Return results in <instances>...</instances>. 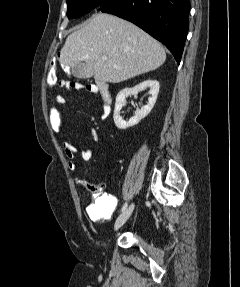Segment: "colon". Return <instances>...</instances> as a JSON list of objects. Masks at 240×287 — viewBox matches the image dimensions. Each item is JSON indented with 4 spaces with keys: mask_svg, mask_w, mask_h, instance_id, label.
<instances>
[{
    "mask_svg": "<svg viewBox=\"0 0 240 287\" xmlns=\"http://www.w3.org/2000/svg\"><path fill=\"white\" fill-rule=\"evenodd\" d=\"M47 84L51 87L58 86L59 88L66 89H86L88 85H81L74 81L67 80H58L56 63L55 60L51 62V66L47 75ZM49 108H48V118L52 129L55 132H60L65 124V115L63 111V106L65 105V98L62 95L55 94L51 95L49 99ZM79 184H83L79 182ZM92 189H97V185L91 187Z\"/></svg>",
    "mask_w": 240,
    "mask_h": 287,
    "instance_id": "1",
    "label": "colon"
}]
</instances>
